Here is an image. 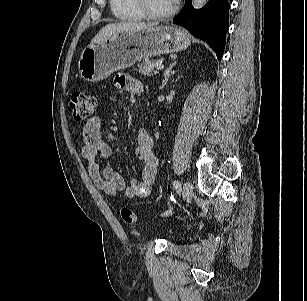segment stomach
Instances as JSON below:
<instances>
[{
	"label": "stomach",
	"instance_id": "1",
	"mask_svg": "<svg viewBox=\"0 0 307 301\" xmlns=\"http://www.w3.org/2000/svg\"><path fill=\"white\" fill-rule=\"evenodd\" d=\"M190 43L188 33L174 26L119 32L82 51L78 62L80 77L89 82L102 81L143 58L182 51Z\"/></svg>",
	"mask_w": 307,
	"mask_h": 301
}]
</instances>
